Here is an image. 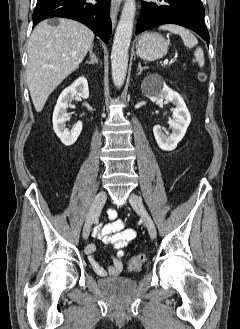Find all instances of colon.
I'll return each instance as SVG.
<instances>
[{
  "instance_id": "colon-1",
  "label": "colon",
  "mask_w": 240,
  "mask_h": 329,
  "mask_svg": "<svg viewBox=\"0 0 240 329\" xmlns=\"http://www.w3.org/2000/svg\"><path fill=\"white\" fill-rule=\"evenodd\" d=\"M144 261H145V255L137 254L130 259L128 268L131 271L138 270L143 265Z\"/></svg>"
}]
</instances>
